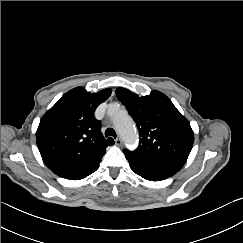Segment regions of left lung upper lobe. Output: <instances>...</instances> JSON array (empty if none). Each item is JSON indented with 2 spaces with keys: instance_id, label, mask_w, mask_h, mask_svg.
I'll use <instances>...</instances> for the list:
<instances>
[{
  "instance_id": "left-lung-upper-lobe-1",
  "label": "left lung upper lobe",
  "mask_w": 243,
  "mask_h": 243,
  "mask_svg": "<svg viewBox=\"0 0 243 243\" xmlns=\"http://www.w3.org/2000/svg\"><path fill=\"white\" fill-rule=\"evenodd\" d=\"M116 96L135 121L140 142L133 153L185 164L193 146L189 121L159 91L139 97L119 87Z\"/></svg>"
}]
</instances>
